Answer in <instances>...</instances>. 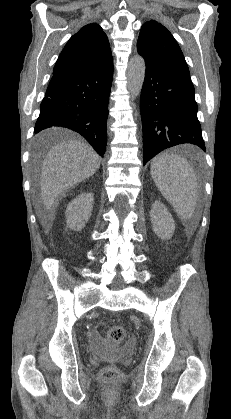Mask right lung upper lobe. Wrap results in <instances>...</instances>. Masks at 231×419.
Segmentation results:
<instances>
[{
    "mask_svg": "<svg viewBox=\"0 0 231 419\" xmlns=\"http://www.w3.org/2000/svg\"><path fill=\"white\" fill-rule=\"evenodd\" d=\"M112 62L107 35L99 25L92 23L69 39L58 57L53 74L96 70Z\"/></svg>",
    "mask_w": 231,
    "mask_h": 419,
    "instance_id": "obj_1",
    "label": "right lung upper lobe"
}]
</instances>
